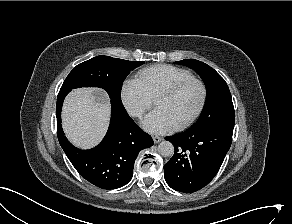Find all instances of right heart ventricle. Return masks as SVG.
Here are the masks:
<instances>
[{
    "instance_id": "e07e8e85",
    "label": "right heart ventricle",
    "mask_w": 292,
    "mask_h": 224,
    "mask_svg": "<svg viewBox=\"0 0 292 224\" xmlns=\"http://www.w3.org/2000/svg\"><path fill=\"white\" fill-rule=\"evenodd\" d=\"M189 77H193V75L186 69L159 64L140 70L136 79L142 84L149 96L155 99L166 87Z\"/></svg>"
}]
</instances>
